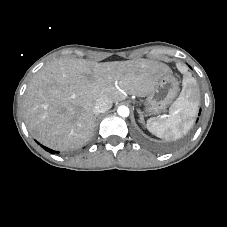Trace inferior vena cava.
I'll return each mask as SVG.
<instances>
[{
	"mask_svg": "<svg viewBox=\"0 0 227 227\" xmlns=\"http://www.w3.org/2000/svg\"><path fill=\"white\" fill-rule=\"evenodd\" d=\"M112 103H113L112 100L107 96L99 98L96 101L95 106L93 108L94 114L97 115L108 111L112 107Z\"/></svg>",
	"mask_w": 227,
	"mask_h": 227,
	"instance_id": "inferior-vena-cava-1",
	"label": "inferior vena cava"
}]
</instances>
